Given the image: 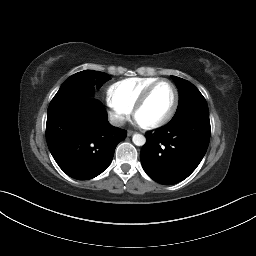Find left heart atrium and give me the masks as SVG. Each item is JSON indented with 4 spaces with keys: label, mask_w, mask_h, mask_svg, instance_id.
<instances>
[{
    "label": "left heart atrium",
    "mask_w": 256,
    "mask_h": 256,
    "mask_svg": "<svg viewBox=\"0 0 256 256\" xmlns=\"http://www.w3.org/2000/svg\"><path fill=\"white\" fill-rule=\"evenodd\" d=\"M136 122L138 123V124H140V122L136 119Z\"/></svg>",
    "instance_id": "39dd6f15"
}]
</instances>
